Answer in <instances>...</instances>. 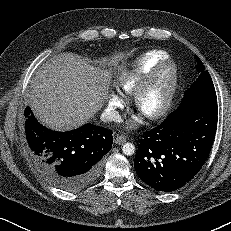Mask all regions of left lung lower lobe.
Wrapping results in <instances>:
<instances>
[{
    "label": "left lung lower lobe",
    "mask_w": 231,
    "mask_h": 231,
    "mask_svg": "<svg viewBox=\"0 0 231 231\" xmlns=\"http://www.w3.org/2000/svg\"><path fill=\"white\" fill-rule=\"evenodd\" d=\"M217 115V97L191 99L145 132L134 160L139 178L164 192L191 181L211 151Z\"/></svg>",
    "instance_id": "0a47b994"
}]
</instances>
